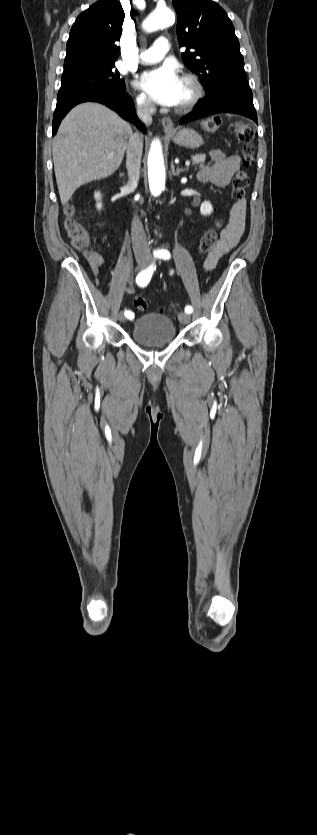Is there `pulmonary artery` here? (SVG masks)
<instances>
[{"instance_id":"pulmonary-artery-1","label":"pulmonary artery","mask_w":317,"mask_h":835,"mask_svg":"<svg viewBox=\"0 0 317 835\" xmlns=\"http://www.w3.org/2000/svg\"><path fill=\"white\" fill-rule=\"evenodd\" d=\"M170 44L165 37L156 39L154 44L140 53V60L144 63H153L160 61L169 51Z\"/></svg>"}]
</instances>
